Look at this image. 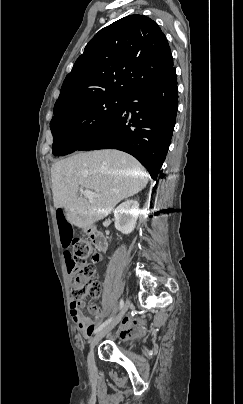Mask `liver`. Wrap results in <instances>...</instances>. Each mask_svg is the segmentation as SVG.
<instances>
[{
	"mask_svg": "<svg viewBox=\"0 0 243 404\" xmlns=\"http://www.w3.org/2000/svg\"><path fill=\"white\" fill-rule=\"evenodd\" d=\"M54 208H64L66 220L77 228H90L113 208L141 192L149 174L141 164L118 150H96L60 160L51 168ZM79 188L98 194L93 200L78 196Z\"/></svg>",
	"mask_w": 243,
	"mask_h": 404,
	"instance_id": "1",
	"label": "liver"
}]
</instances>
